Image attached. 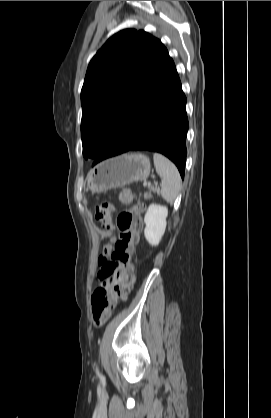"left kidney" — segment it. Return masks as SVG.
Listing matches in <instances>:
<instances>
[{"label":"left kidney","instance_id":"obj_1","mask_svg":"<svg viewBox=\"0 0 271 418\" xmlns=\"http://www.w3.org/2000/svg\"><path fill=\"white\" fill-rule=\"evenodd\" d=\"M168 209L165 206L151 204L144 217V235L148 243L156 246L160 243L166 229Z\"/></svg>","mask_w":271,"mask_h":418}]
</instances>
